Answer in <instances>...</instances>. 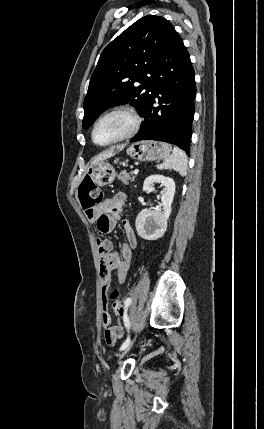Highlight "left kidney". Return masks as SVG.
Here are the masks:
<instances>
[{
    "instance_id": "1",
    "label": "left kidney",
    "mask_w": 264,
    "mask_h": 429,
    "mask_svg": "<svg viewBox=\"0 0 264 429\" xmlns=\"http://www.w3.org/2000/svg\"><path fill=\"white\" fill-rule=\"evenodd\" d=\"M154 183L165 186V192L161 196L163 210L143 209L136 217V230L138 235L145 240H157L161 238L167 229V220L171 214V204L175 194V182L172 178L162 175L148 176L143 184V191L149 190Z\"/></svg>"
}]
</instances>
